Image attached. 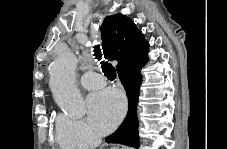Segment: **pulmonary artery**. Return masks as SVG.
Returning a JSON list of instances; mask_svg holds the SVG:
<instances>
[{
	"label": "pulmonary artery",
	"instance_id": "1",
	"mask_svg": "<svg viewBox=\"0 0 227 149\" xmlns=\"http://www.w3.org/2000/svg\"><path fill=\"white\" fill-rule=\"evenodd\" d=\"M81 85L87 90H96L105 85V79L95 72H85L80 79Z\"/></svg>",
	"mask_w": 227,
	"mask_h": 149
}]
</instances>
